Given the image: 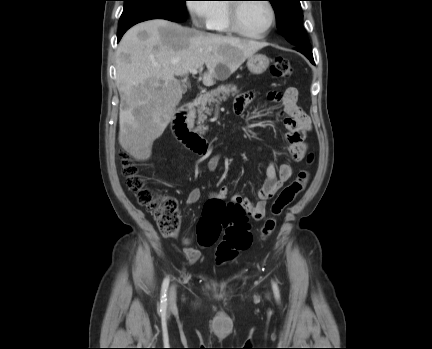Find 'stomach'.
Masks as SVG:
<instances>
[{
    "instance_id": "stomach-1",
    "label": "stomach",
    "mask_w": 432,
    "mask_h": 349,
    "mask_svg": "<svg viewBox=\"0 0 432 349\" xmlns=\"http://www.w3.org/2000/svg\"><path fill=\"white\" fill-rule=\"evenodd\" d=\"M269 58L264 54H253L247 59V67L253 74H262L269 66Z\"/></svg>"
}]
</instances>
